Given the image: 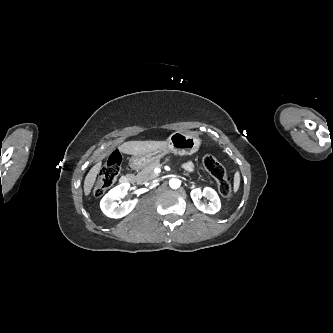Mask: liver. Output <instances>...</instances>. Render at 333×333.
<instances>
[{"mask_svg": "<svg viewBox=\"0 0 333 333\" xmlns=\"http://www.w3.org/2000/svg\"><path fill=\"white\" fill-rule=\"evenodd\" d=\"M166 145V141H128L121 144L118 149L121 153L128 155H143L161 149ZM100 168L101 161L96 163L86 175L84 181V193L86 196L90 194Z\"/></svg>", "mask_w": 333, "mask_h": 333, "instance_id": "1", "label": "liver"}]
</instances>
